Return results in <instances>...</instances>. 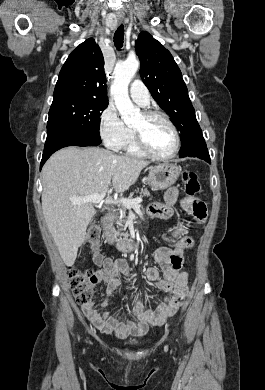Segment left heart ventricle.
I'll return each mask as SVG.
<instances>
[{
	"instance_id": "left-heart-ventricle-1",
	"label": "left heart ventricle",
	"mask_w": 265,
	"mask_h": 390,
	"mask_svg": "<svg viewBox=\"0 0 265 390\" xmlns=\"http://www.w3.org/2000/svg\"><path fill=\"white\" fill-rule=\"evenodd\" d=\"M134 129L139 130L148 147L159 155H167L174 146V135L170 127L161 119H145L141 114L135 124Z\"/></svg>"
}]
</instances>
